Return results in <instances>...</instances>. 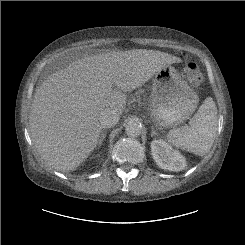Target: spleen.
Returning <instances> with one entry per match:
<instances>
[{
    "instance_id": "obj_1",
    "label": "spleen",
    "mask_w": 245,
    "mask_h": 245,
    "mask_svg": "<svg viewBox=\"0 0 245 245\" xmlns=\"http://www.w3.org/2000/svg\"><path fill=\"white\" fill-rule=\"evenodd\" d=\"M217 126V107L213 99L207 97L197 113L191 118L189 126L170 130L167 140L178 149L203 156L214 143Z\"/></svg>"
}]
</instances>
